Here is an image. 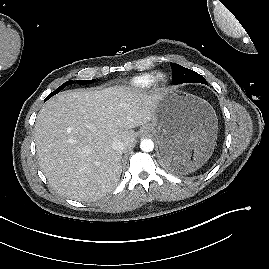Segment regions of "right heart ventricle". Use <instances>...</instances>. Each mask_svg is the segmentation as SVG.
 Returning a JSON list of instances; mask_svg holds the SVG:
<instances>
[{
	"label": "right heart ventricle",
	"mask_w": 269,
	"mask_h": 269,
	"mask_svg": "<svg viewBox=\"0 0 269 269\" xmlns=\"http://www.w3.org/2000/svg\"><path fill=\"white\" fill-rule=\"evenodd\" d=\"M154 83V75L152 73H144L132 78L129 86L135 90H144Z\"/></svg>",
	"instance_id": "right-heart-ventricle-1"
}]
</instances>
